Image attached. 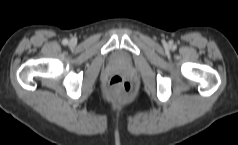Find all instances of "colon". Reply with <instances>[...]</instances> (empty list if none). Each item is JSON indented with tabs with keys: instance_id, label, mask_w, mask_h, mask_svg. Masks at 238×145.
I'll use <instances>...</instances> for the list:
<instances>
[{
	"instance_id": "5ec220e1",
	"label": "colon",
	"mask_w": 238,
	"mask_h": 145,
	"mask_svg": "<svg viewBox=\"0 0 238 145\" xmlns=\"http://www.w3.org/2000/svg\"><path fill=\"white\" fill-rule=\"evenodd\" d=\"M108 88L111 95L117 99L126 98L132 93V85L120 76H113L108 83Z\"/></svg>"
}]
</instances>
